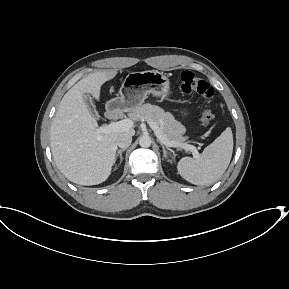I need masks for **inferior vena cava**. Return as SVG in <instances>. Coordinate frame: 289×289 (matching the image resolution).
I'll list each match as a JSON object with an SVG mask.
<instances>
[{
	"label": "inferior vena cava",
	"instance_id": "obj_1",
	"mask_svg": "<svg viewBox=\"0 0 289 289\" xmlns=\"http://www.w3.org/2000/svg\"><path fill=\"white\" fill-rule=\"evenodd\" d=\"M132 142V136L129 134H122L118 137L116 145L122 149H126Z\"/></svg>",
	"mask_w": 289,
	"mask_h": 289
}]
</instances>
